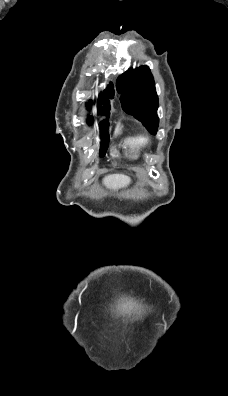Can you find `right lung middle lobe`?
<instances>
[{
  "instance_id": "dd1d6c3e",
  "label": "right lung middle lobe",
  "mask_w": 228,
  "mask_h": 396,
  "mask_svg": "<svg viewBox=\"0 0 228 396\" xmlns=\"http://www.w3.org/2000/svg\"><path fill=\"white\" fill-rule=\"evenodd\" d=\"M106 115L109 116V113ZM108 125H109V123L107 120H104L100 123V127H102L105 130V132L101 135V139H102L101 147H100V156L101 157H103L105 155V153L107 151L108 144H109V135L107 133Z\"/></svg>"
}]
</instances>
